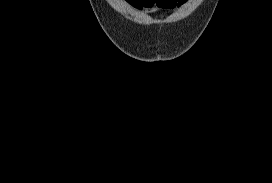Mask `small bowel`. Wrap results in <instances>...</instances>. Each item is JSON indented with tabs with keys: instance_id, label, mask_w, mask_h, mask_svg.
Returning a JSON list of instances; mask_svg holds the SVG:
<instances>
[{
	"instance_id": "obj_1",
	"label": "small bowel",
	"mask_w": 272,
	"mask_h": 183,
	"mask_svg": "<svg viewBox=\"0 0 272 183\" xmlns=\"http://www.w3.org/2000/svg\"><path fill=\"white\" fill-rule=\"evenodd\" d=\"M126 2L137 9H152L153 7L171 9L185 0H126Z\"/></svg>"
}]
</instances>
